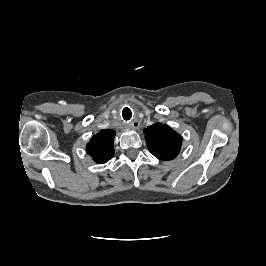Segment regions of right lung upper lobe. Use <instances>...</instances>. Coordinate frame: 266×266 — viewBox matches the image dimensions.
<instances>
[{
  "label": "right lung upper lobe",
  "instance_id": "obj_1",
  "mask_svg": "<svg viewBox=\"0 0 266 266\" xmlns=\"http://www.w3.org/2000/svg\"><path fill=\"white\" fill-rule=\"evenodd\" d=\"M115 131L101 130L94 135L86 146L87 153L99 164L109 161L114 155Z\"/></svg>",
  "mask_w": 266,
  "mask_h": 266
}]
</instances>
